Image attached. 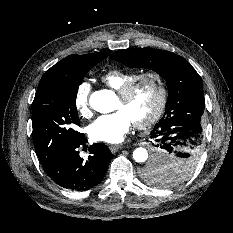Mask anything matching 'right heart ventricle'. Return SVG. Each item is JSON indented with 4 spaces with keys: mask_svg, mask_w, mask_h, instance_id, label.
<instances>
[{
    "mask_svg": "<svg viewBox=\"0 0 233 233\" xmlns=\"http://www.w3.org/2000/svg\"><path fill=\"white\" fill-rule=\"evenodd\" d=\"M136 75V72L121 68L110 69L100 76V80L109 88L117 91L123 84Z\"/></svg>",
    "mask_w": 233,
    "mask_h": 233,
    "instance_id": "1",
    "label": "right heart ventricle"
}]
</instances>
